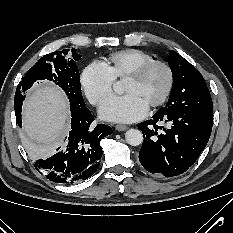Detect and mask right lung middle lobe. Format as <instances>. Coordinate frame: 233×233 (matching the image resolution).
<instances>
[{
    "mask_svg": "<svg viewBox=\"0 0 233 233\" xmlns=\"http://www.w3.org/2000/svg\"><path fill=\"white\" fill-rule=\"evenodd\" d=\"M80 59L81 55L76 52V49L55 51L43 56L19 83L15 93L14 105L23 102V93L34 82L47 79L53 81L65 91L71 106H85L81 94L80 74L76 65V62ZM33 146L30 145L29 148ZM53 149L54 147H50L46 150V153Z\"/></svg>",
    "mask_w": 233,
    "mask_h": 233,
    "instance_id": "right-lung-middle-lobe-1",
    "label": "right lung middle lobe"
}]
</instances>
